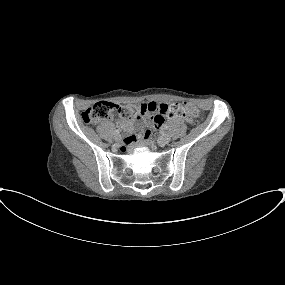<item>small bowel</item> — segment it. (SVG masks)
Returning <instances> with one entry per match:
<instances>
[{
	"label": "small bowel",
	"mask_w": 285,
	"mask_h": 285,
	"mask_svg": "<svg viewBox=\"0 0 285 285\" xmlns=\"http://www.w3.org/2000/svg\"><path fill=\"white\" fill-rule=\"evenodd\" d=\"M147 108V113L149 114L147 118L151 121V124L154 127H160L165 122V112L169 106L167 103H158L154 101H149L147 103L141 104ZM177 121H186L191 123L192 120L190 118H179ZM145 123V117L141 116L134 120L128 122L120 123V127L124 130L132 131L135 128H139L143 126ZM145 137H148V133H144ZM134 135H130L129 138H133Z\"/></svg>",
	"instance_id": "small-bowel-1"
}]
</instances>
